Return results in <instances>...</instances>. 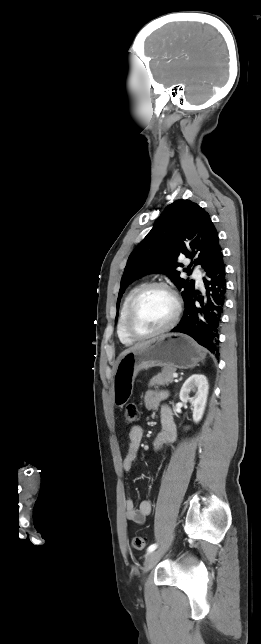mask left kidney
I'll return each mask as SVG.
<instances>
[{"mask_svg": "<svg viewBox=\"0 0 261 644\" xmlns=\"http://www.w3.org/2000/svg\"><path fill=\"white\" fill-rule=\"evenodd\" d=\"M208 380L202 374H194L190 376L183 384L180 390V400L183 402H190L193 406V421L198 423L204 414L207 396H208ZM195 392L193 397H190V392Z\"/></svg>", "mask_w": 261, "mask_h": 644, "instance_id": "5707ae66", "label": "left kidney"}]
</instances>
